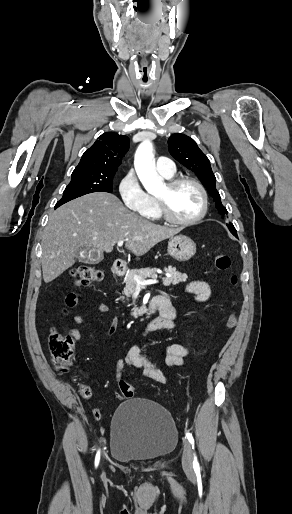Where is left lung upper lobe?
<instances>
[{"instance_id": "obj_1", "label": "left lung upper lobe", "mask_w": 292, "mask_h": 514, "mask_svg": "<svg viewBox=\"0 0 292 514\" xmlns=\"http://www.w3.org/2000/svg\"><path fill=\"white\" fill-rule=\"evenodd\" d=\"M168 145L170 154L198 176L208 193L213 197L218 212L222 215L227 214L228 212L222 205L220 195L216 189V178L211 169L210 161L199 149L196 142L184 134L176 133L170 136ZM226 225L230 232L237 237L234 225L230 222Z\"/></svg>"}]
</instances>
